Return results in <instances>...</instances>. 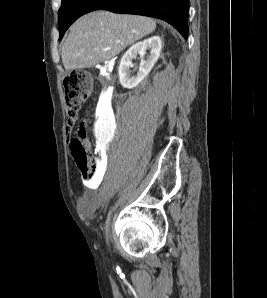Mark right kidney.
<instances>
[{
	"label": "right kidney",
	"instance_id": "1",
	"mask_svg": "<svg viewBox=\"0 0 267 298\" xmlns=\"http://www.w3.org/2000/svg\"><path fill=\"white\" fill-rule=\"evenodd\" d=\"M161 48L162 41L159 36H152L132 45L123 55L119 65L118 72L120 84L127 89L136 87L153 68L160 56ZM147 49H150V55L147 60H141L137 75L130 76L129 68L133 67L132 60L137 56V54L144 56Z\"/></svg>",
	"mask_w": 267,
	"mask_h": 298
}]
</instances>
